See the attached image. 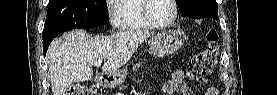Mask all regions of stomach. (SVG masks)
<instances>
[{"mask_svg":"<svg viewBox=\"0 0 277 95\" xmlns=\"http://www.w3.org/2000/svg\"><path fill=\"white\" fill-rule=\"evenodd\" d=\"M182 45V39L178 33L161 32L153 35L148 46L151 52L158 56L170 55L176 52ZM128 69L124 67L123 69H118L110 73H105L101 78V83L106 87H115L124 82Z\"/></svg>","mask_w":277,"mask_h":95,"instance_id":"stomach-1","label":"stomach"}]
</instances>
